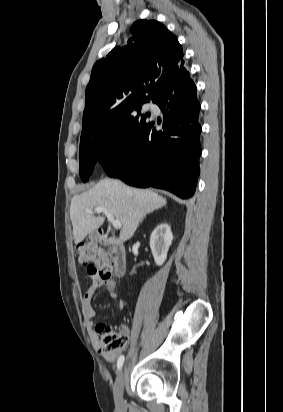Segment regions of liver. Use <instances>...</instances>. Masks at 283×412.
Returning a JSON list of instances; mask_svg holds the SVG:
<instances>
[{
  "mask_svg": "<svg viewBox=\"0 0 283 412\" xmlns=\"http://www.w3.org/2000/svg\"><path fill=\"white\" fill-rule=\"evenodd\" d=\"M166 199L152 190L130 188L114 179H103L94 187L75 195L70 206V218L75 243L103 224L102 216H94L86 209L106 208L121 222L120 239H130L139 222L149 213L166 205Z\"/></svg>",
  "mask_w": 283,
  "mask_h": 412,
  "instance_id": "liver-1",
  "label": "liver"
}]
</instances>
